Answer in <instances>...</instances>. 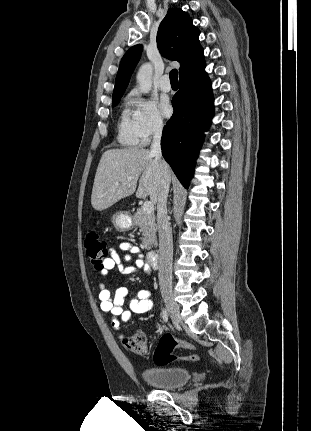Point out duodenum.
Wrapping results in <instances>:
<instances>
[{"instance_id":"1","label":"duodenum","mask_w":311,"mask_h":431,"mask_svg":"<svg viewBox=\"0 0 311 431\" xmlns=\"http://www.w3.org/2000/svg\"><path fill=\"white\" fill-rule=\"evenodd\" d=\"M148 260L153 267H157L159 264V250L151 249L148 252Z\"/></svg>"}]
</instances>
